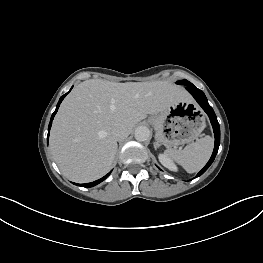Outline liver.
Listing matches in <instances>:
<instances>
[{
    "label": "liver",
    "mask_w": 263,
    "mask_h": 263,
    "mask_svg": "<svg viewBox=\"0 0 263 263\" xmlns=\"http://www.w3.org/2000/svg\"><path fill=\"white\" fill-rule=\"evenodd\" d=\"M187 92L167 81L116 83L102 79L78 84L62 102L50 133V149L64 176L86 183L105 175L114 161L112 129L129 133L147 114L187 100Z\"/></svg>",
    "instance_id": "1"
}]
</instances>
